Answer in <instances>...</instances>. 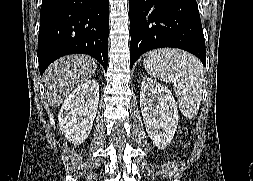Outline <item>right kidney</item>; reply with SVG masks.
Wrapping results in <instances>:
<instances>
[{
  "label": "right kidney",
  "mask_w": 253,
  "mask_h": 181,
  "mask_svg": "<svg viewBox=\"0 0 253 181\" xmlns=\"http://www.w3.org/2000/svg\"><path fill=\"white\" fill-rule=\"evenodd\" d=\"M99 102V84L95 80L75 88L64 100L58 122L65 138L81 144L88 138L96 117Z\"/></svg>",
  "instance_id": "ca27d5eb"
}]
</instances>
